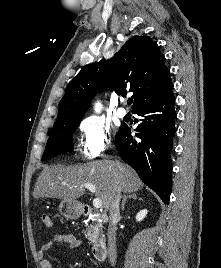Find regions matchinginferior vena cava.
<instances>
[{"label": "inferior vena cava", "mask_w": 221, "mask_h": 268, "mask_svg": "<svg viewBox=\"0 0 221 268\" xmlns=\"http://www.w3.org/2000/svg\"><path fill=\"white\" fill-rule=\"evenodd\" d=\"M121 198V190L119 187H115L111 194L109 216L110 224L108 227V254L109 260L112 266L116 263L117 251H116V230L117 222L120 217L119 202Z\"/></svg>", "instance_id": "602c4592"}]
</instances>
